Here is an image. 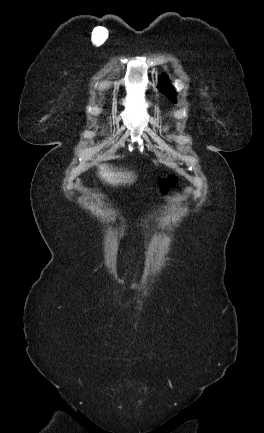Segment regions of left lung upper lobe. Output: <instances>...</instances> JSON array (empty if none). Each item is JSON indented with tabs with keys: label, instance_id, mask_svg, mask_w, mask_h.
<instances>
[{
	"label": "left lung upper lobe",
	"instance_id": "1",
	"mask_svg": "<svg viewBox=\"0 0 264 433\" xmlns=\"http://www.w3.org/2000/svg\"><path fill=\"white\" fill-rule=\"evenodd\" d=\"M158 88L172 101H176L175 93L172 91L173 87L170 85L166 75H163L159 81Z\"/></svg>",
	"mask_w": 264,
	"mask_h": 433
}]
</instances>
